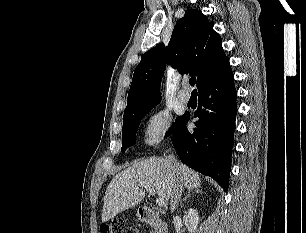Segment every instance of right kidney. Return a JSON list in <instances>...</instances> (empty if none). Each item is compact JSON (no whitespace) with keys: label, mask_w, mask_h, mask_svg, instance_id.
Listing matches in <instances>:
<instances>
[{"label":"right kidney","mask_w":306,"mask_h":233,"mask_svg":"<svg viewBox=\"0 0 306 233\" xmlns=\"http://www.w3.org/2000/svg\"><path fill=\"white\" fill-rule=\"evenodd\" d=\"M183 221L185 226L191 233H195L197 226L199 224L200 218L198 216L197 210L190 208L184 215Z\"/></svg>","instance_id":"obj_1"}]
</instances>
